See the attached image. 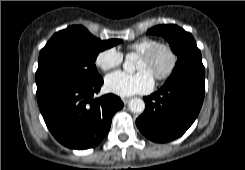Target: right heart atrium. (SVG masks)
Masks as SVG:
<instances>
[{
    "label": "right heart atrium",
    "mask_w": 245,
    "mask_h": 170,
    "mask_svg": "<svg viewBox=\"0 0 245 170\" xmlns=\"http://www.w3.org/2000/svg\"><path fill=\"white\" fill-rule=\"evenodd\" d=\"M124 55L115 47H108L100 51L95 57V64L103 71L116 68L122 64Z\"/></svg>",
    "instance_id": "1"
}]
</instances>
